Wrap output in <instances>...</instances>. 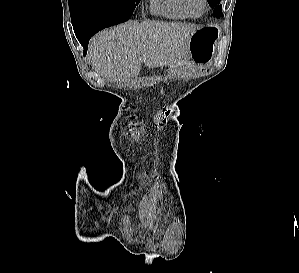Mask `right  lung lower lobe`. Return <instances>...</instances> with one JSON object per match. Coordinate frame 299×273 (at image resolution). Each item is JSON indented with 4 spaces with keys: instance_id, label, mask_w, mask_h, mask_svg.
<instances>
[{
    "instance_id": "1",
    "label": "right lung lower lobe",
    "mask_w": 299,
    "mask_h": 273,
    "mask_svg": "<svg viewBox=\"0 0 299 273\" xmlns=\"http://www.w3.org/2000/svg\"><path fill=\"white\" fill-rule=\"evenodd\" d=\"M132 15L129 13L104 14L97 17L82 18L72 22L77 39L84 48L86 55L90 38L98 31L128 20Z\"/></svg>"
}]
</instances>
